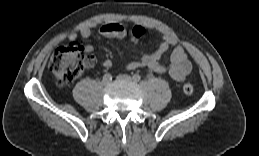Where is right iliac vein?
Returning <instances> with one entry per match:
<instances>
[{"instance_id":"1","label":"right iliac vein","mask_w":259,"mask_h":156,"mask_svg":"<svg viewBox=\"0 0 259 156\" xmlns=\"http://www.w3.org/2000/svg\"><path fill=\"white\" fill-rule=\"evenodd\" d=\"M110 83V80H105V79H103L102 80V84L105 86V85H107V84H109Z\"/></svg>"}]
</instances>
